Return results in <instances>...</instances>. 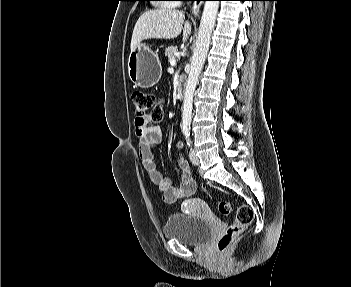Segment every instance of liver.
<instances>
[{
  "label": "liver",
  "instance_id": "obj_1",
  "mask_svg": "<svg viewBox=\"0 0 351 287\" xmlns=\"http://www.w3.org/2000/svg\"><path fill=\"white\" fill-rule=\"evenodd\" d=\"M185 21L183 12L157 9L143 13L137 20L131 39V52L145 39H174L183 30V41L191 33V24ZM184 25V27H183Z\"/></svg>",
  "mask_w": 351,
  "mask_h": 287
}]
</instances>
